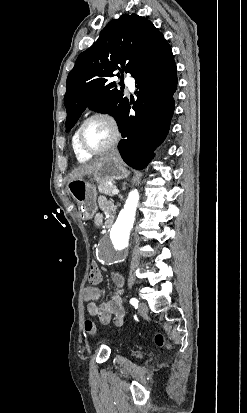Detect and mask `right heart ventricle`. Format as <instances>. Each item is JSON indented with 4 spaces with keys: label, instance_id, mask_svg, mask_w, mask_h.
I'll use <instances>...</instances> for the list:
<instances>
[{
    "label": "right heart ventricle",
    "instance_id": "1",
    "mask_svg": "<svg viewBox=\"0 0 247 413\" xmlns=\"http://www.w3.org/2000/svg\"><path fill=\"white\" fill-rule=\"evenodd\" d=\"M76 132L73 134V137H72V147H73V150H74V153H75V156H76L77 160L80 163H85V162L89 161L91 159V157L83 154L79 150V148L77 146V141H76Z\"/></svg>",
    "mask_w": 247,
    "mask_h": 413
}]
</instances>
